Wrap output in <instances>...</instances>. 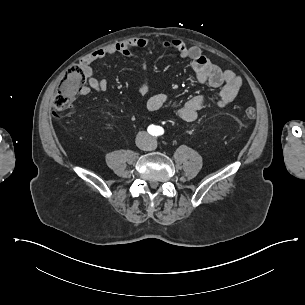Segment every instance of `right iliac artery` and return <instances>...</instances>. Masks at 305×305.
Here are the masks:
<instances>
[{
  "label": "right iliac artery",
  "mask_w": 305,
  "mask_h": 305,
  "mask_svg": "<svg viewBox=\"0 0 305 305\" xmlns=\"http://www.w3.org/2000/svg\"><path fill=\"white\" fill-rule=\"evenodd\" d=\"M149 129L152 131V132H155L156 131V127L154 125H150L149 126Z\"/></svg>",
  "instance_id": "obj_1"
}]
</instances>
